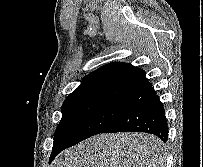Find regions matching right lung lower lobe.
I'll use <instances>...</instances> for the list:
<instances>
[{
  "label": "right lung lower lobe",
  "mask_w": 203,
  "mask_h": 167,
  "mask_svg": "<svg viewBox=\"0 0 203 167\" xmlns=\"http://www.w3.org/2000/svg\"><path fill=\"white\" fill-rule=\"evenodd\" d=\"M116 132H145L166 142L168 123L158 95L153 93L139 99L101 133ZM65 148L68 147L64 144L54 143L50 161Z\"/></svg>",
  "instance_id": "1"
}]
</instances>
